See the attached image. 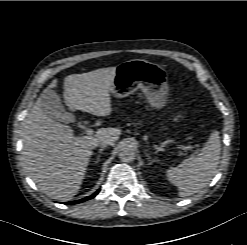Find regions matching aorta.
Masks as SVG:
<instances>
[{
  "instance_id": "obj_1",
  "label": "aorta",
  "mask_w": 247,
  "mask_h": 245,
  "mask_svg": "<svg viewBox=\"0 0 247 245\" xmlns=\"http://www.w3.org/2000/svg\"><path fill=\"white\" fill-rule=\"evenodd\" d=\"M135 148L130 144H124L120 147L119 158L123 162H132L135 159Z\"/></svg>"
}]
</instances>
